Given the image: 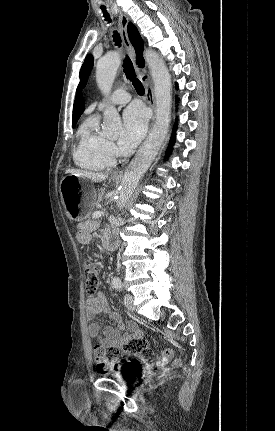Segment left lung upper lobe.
I'll list each match as a JSON object with an SVG mask.
<instances>
[{
	"label": "left lung upper lobe",
	"mask_w": 275,
	"mask_h": 431,
	"mask_svg": "<svg viewBox=\"0 0 275 431\" xmlns=\"http://www.w3.org/2000/svg\"><path fill=\"white\" fill-rule=\"evenodd\" d=\"M93 66V56L92 55H87L85 58V61L81 67L80 70V86H85L86 82H87V78L88 75L92 69Z\"/></svg>",
	"instance_id": "obj_1"
}]
</instances>
